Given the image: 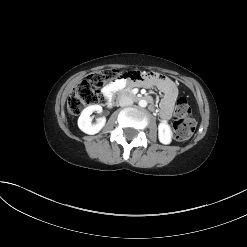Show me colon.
<instances>
[{"label": "colon", "mask_w": 247, "mask_h": 247, "mask_svg": "<svg viewBox=\"0 0 247 247\" xmlns=\"http://www.w3.org/2000/svg\"><path fill=\"white\" fill-rule=\"evenodd\" d=\"M159 74L155 72L132 71L120 72L115 69H107L92 73L77 87L68 101V108L72 115H79L83 109L95 104H104L106 97L104 88L118 79L126 78L136 82H148L155 80ZM191 109L185 98H179L174 112V136L178 141L189 139L194 130L195 122L190 117Z\"/></svg>", "instance_id": "1"}]
</instances>
